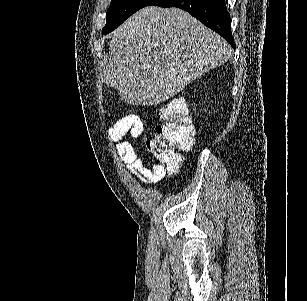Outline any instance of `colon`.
I'll return each instance as SVG.
<instances>
[{
	"label": "colon",
	"mask_w": 307,
	"mask_h": 301,
	"mask_svg": "<svg viewBox=\"0 0 307 301\" xmlns=\"http://www.w3.org/2000/svg\"><path fill=\"white\" fill-rule=\"evenodd\" d=\"M163 121L147 139L148 151L160 162L168 174L178 172L182 157L179 151L189 150L194 142V128L185 100L173 98L159 109Z\"/></svg>",
	"instance_id": "5ec220e1"
}]
</instances>
